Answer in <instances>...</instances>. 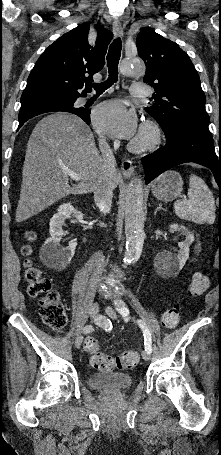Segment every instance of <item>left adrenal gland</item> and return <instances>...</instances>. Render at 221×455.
Instances as JSON below:
<instances>
[{
    "instance_id": "1",
    "label": "left adrenal gland",
    "mask_w": 221,
    "mask_h": 455,
    "mask_svg": "<svg viewBox=\"0 0 221 455\" xmlns=\"http://www.w3.org/2000/svg\"><path fill=\"white\" fill-rule=\"evenodd\" d=\"M159 210H164L165 211V209L162 208V204H159V206L156 208L154 214H156Z\"/></svg>"
}]
</instances>
